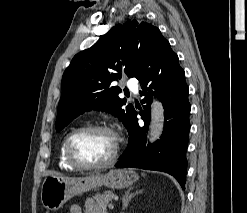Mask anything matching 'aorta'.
<instances>
[{
    "label": "aorta",
    "mask_w": 247,
    "mask_h": 213,
    "mask_svg": "<svg viewBox=\"0 0 247 213\" xmlns=\"http://www.w3.org/2000/svg\"><path fill=\"white\" fill-rule=\"evenodd\" d=\"M164 114L162 104L154 100L151 106V124L149 127V140L153 143L158 140L163 131Z\"/></svg>",
    "instance_id": "1"
}]
</instances>
